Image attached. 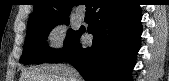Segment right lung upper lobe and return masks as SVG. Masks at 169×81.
Segmentation results:
<instances>
[{
  "instance_id": "right-lung-upper-lobe-1",
  "label": "right lung upper lobe",
  "mask_w": 169,
  "mask_h": 81,
  "mask_svg": "<svg viewBox=\"0 0 169 81\" xmlns=\"http://www.w3.org/2000/svg\"><path fill=\"white\" fill-rule=\"evenodd\" d=\"M34 9L28 25L34 22L68 16L72 0H34Z\"/></svg>"
}]
</instances>
